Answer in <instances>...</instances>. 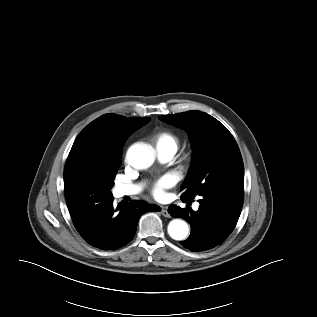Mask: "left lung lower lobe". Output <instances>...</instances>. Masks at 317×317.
Instances as JSON below:
<instances>
[{
    "instance_id": "obj_1",
    "label": "left lung lower lobe",
    "mask_w": 317,
    "mask_h": 317,
    "mask_svg": "<svg viewBox=\"0 0 317 317\" xmlns=\"http://www.w3.org/2000/svg\"><path fill=\"white\" fill-rule=\"evenodd\" d=\"M244 190L213 188L198 196L199 209L169 207L174 218L182 217L191 226V234L180 244L192 252L212 249L223 243L235 228L243 206ZM183 201L192 199L182 198Z\"/></svg>"
}]
</instances>
